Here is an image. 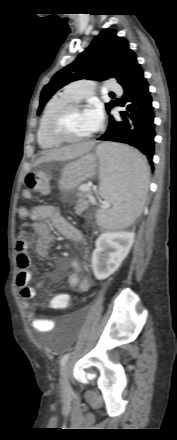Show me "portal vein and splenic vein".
I'll return each instance as SVG.
<instances>
[{
	"label": "portal vein and splenic vein",
	"mask_w": 177,
	"mask_h": 440,
	"mask_svg": "<svg viewBox=\"0 0 177 440\" xmlns=\"http://www.w3.org/2000/svg\"><path fill=\"white\" fill-rule=\"evenodd\" d=\"M83 189H84V190H90V186H86V187H84ZM89 199H90V200H93L92 197H89ZM103 207H104V208H109V207H110V204H104Z\"/></svg>",
	"instance_id": "1"
}]
</instances>
